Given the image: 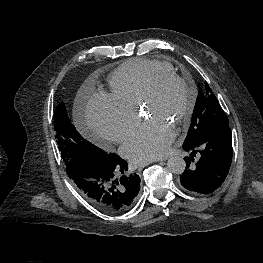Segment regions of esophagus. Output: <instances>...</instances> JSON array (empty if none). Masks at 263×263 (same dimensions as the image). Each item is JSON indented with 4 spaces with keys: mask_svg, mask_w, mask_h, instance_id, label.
Instances as JSON below:
<instances>
[{
    "mask_svg": "<svg viewBox=\"0 0 263 263\" xmlns=\"http://www.w3.org/2000/svg\"><path fill=\"white\" fill-rule=\"evenodd\" d=\"M158 161H162V160H158ZM149 163H143V164H140L139 166H138V168L139 169H142V168H144L145 166H147Z\"/></svg>",
    "mask_w": 263,
    "mask_h": 263,
    "instance_id": "esophagus-1",
    "label": "esophagus"
}]
</instances>
